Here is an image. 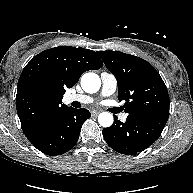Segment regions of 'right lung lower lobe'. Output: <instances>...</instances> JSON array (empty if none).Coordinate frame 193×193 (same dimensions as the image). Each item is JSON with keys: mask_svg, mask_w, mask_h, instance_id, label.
Here are the masks:
<instances>
[{"mask_svg": "<svg viewBox=\"0 0 193 193\" xmlns=\"http://www.w3.org/2000/svg\"><path fill=\"white\" fill-rule=\"evenodd\" d=\"M88 118L90 112L87 109L69 107L27 138L44 154L61 155L77 143L81 127Z\"/></svg>", "mask_w": 193, "mask_h": 193, "instance_id": "1", "label": "right lung lower lobe"}]
</instances>
